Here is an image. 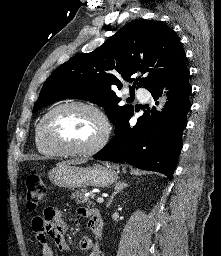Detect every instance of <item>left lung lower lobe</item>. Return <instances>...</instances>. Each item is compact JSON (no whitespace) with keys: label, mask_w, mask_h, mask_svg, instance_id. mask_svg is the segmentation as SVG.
Wrapping results in <instances>:
<instances>
[{"label":"left lung lower lobe","mask_w":221,"mask_h":256,"mask_svg":"<svg viewBox=\"0 0 221 256\" xmlns=\"http://www.w3.org/2000/svg\"><path fill=\"white\" fill-rule=\"evenodd\" d=\"M189 70L185 66L170 78L151 87L154 100L161 95L162 85L167 86L168 101L162 112L153 108L145 111L137 124L130 127L129 119L115 127L110 142L93 157L118 163H129L139 169L161 172L172 179L182 149V132L190 109L188 82ZM157 103V102H156Z\"/></svg>","instance_id":"1"}]
</instances>
